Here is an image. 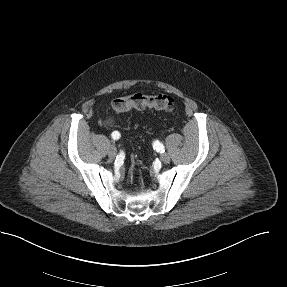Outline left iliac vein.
<instances>
[{"label": "left iliac vein", "mask_w": 287, "mask_h": 287, "mask_svg": "<svg viewBox=\"0 0 287 287\" xmlns=\"http://www.w3.org/2000/svg\"><path fill=\"white\" fill-rule=\"evenodd\" d=\"M161 160L164 163H169L170 162V156L167 153L161 154Z\"/></svg>", "instance_id": "4c4485c4"}]
</instances>
